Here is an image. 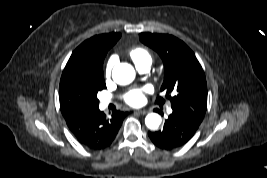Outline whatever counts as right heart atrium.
Instances as JSON below:
<instances>
[{
  "label": "right heart atrium",
  "instance_id": "obj_1",
  "mask_svg": "<svg viewBox=\"0 0 267 178\" xmlns=\"http://www.w3.org/2000/svg\"><path fill=\"white\" fill-rule=\"evenodd\" d=\"M113 64L114 62L112 59L106 63L105 68H104V73H105L106 78H109L111 76Z\"/></svg>",
  "mask_w": 267,
  "mask_h": 178
}]
</instances>
